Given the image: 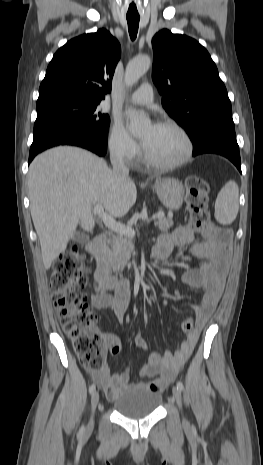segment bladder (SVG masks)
<instances>
[{
  "instance_id": "obj_1",
  "label": "bladder",
  "mask_w": 263,
  "mask_h": 465,
  "mask_svg": "<svg viewBox=\"0 0 263 465\" xmlns=\"http://www.w3.org/2000/svg\"><path fill=\"white\" fill-rule=\"evenodd\" d=\"M162 402L160 393L145 386H133L113 402V410L129 419H140L154 413Z\"/></svg>"
}]
</instances>
